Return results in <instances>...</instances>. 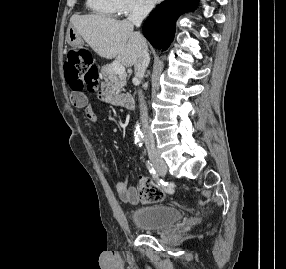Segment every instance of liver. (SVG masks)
I'll return each instance as SVG.
<instances>
[{"mask_svg": "<svg viewBox=\"0 0 286 269\" xmlns=\"http://www.w3.org/2000/svg\"><path fill=\"white\" fill-rule=\"evenodd\" d=\"M73 27L101 57L116 58L122 65L131 67L140 57V47L147 42L134 25L127 20H116L102 15H73Z\"/></svg>", "mask_w": 286, "mask_h": 269, "instance_id": "obj_1", "label": "liver"}]
</instances>
